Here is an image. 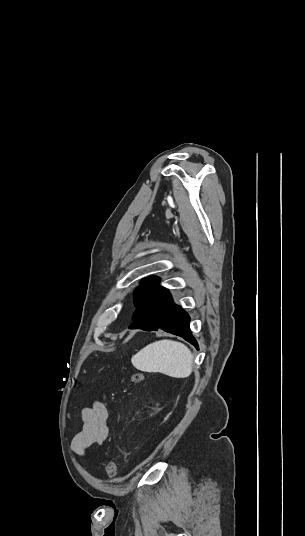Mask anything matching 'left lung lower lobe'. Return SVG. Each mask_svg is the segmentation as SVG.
I'll list each match as a JSON object with an SVG mask.
<instances>
[{
    "instance_id": "left-lung-lower-lobe-1",
    "label": "left lung lower lobe",
    "mask_w": 305,
    "mask_h": 536,
    "mask_svg": "<svg viewBox=\"0 0 305 536\" xmlns=\"http://www.w3.org/2000/svg\"><path fill=\"white\" fill-rule=\"evenodd\" d=\"M132 321L130 329L145 331L163 329L183 337L198 349L197 342L190 331L189 315L173 302L166 288L161 289L138 306L133 313Z\"/></svg>"
}]
</instances>
